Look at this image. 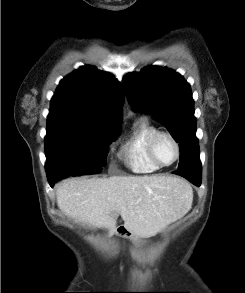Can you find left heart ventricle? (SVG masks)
<instances>
[{
    "instance_id": "b2bd125f",
    "label": "left heart ventricle",
    "mask_w": 245,
    "mask_h": 293,
    "mask_svg": "<svg viewBox=\"0 0 245 293\" xmlns=\"http://www.w3.org/2000/svg\"><path fill=\"white\" fill-rule=\"evenodd\" d=\"M156 155L163 164H168L174 160L175 149L172 142L166 138H160L156 143Z\"/></svg>"
}]
</instances>
